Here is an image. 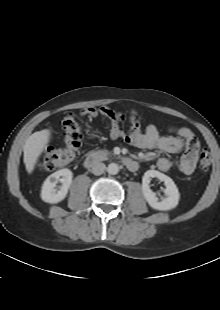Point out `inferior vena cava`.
Masks as SVG:
<instances>
[{
  "label": "inferior vena cava",
  "mask_w": 220,
  "mask_h": 310,
  "mask_svg": "<svg viewBox=\"0 0 220 310\" xmlns=\"http://www.w3.org/2000/svg\"><path fill=\"white\" fill-rule=\"evenodd\" d=\"M105 169H106V166H105V164L104 163H102V162H95L94 164H93V166H92V173L94 174V175H101V174H103L104 173V171H105Z\"/></svg>",
  "instance_id": "1"
}]
</instances>
